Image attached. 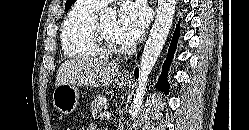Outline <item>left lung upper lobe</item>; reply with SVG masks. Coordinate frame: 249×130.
<instances>
[{
  "label": "left lung upper lobe",
  "instance_id": "5c2ea615",
  "mask_svg": "<svg viewBox=\"0 0 249 130\" xmlns=\"http://www.w3.org/2000/svg\"><path fill=\"white\" fill-rule=\"evenodd\" d=\"M74 2L75 0H67L65 4V9L68 10L73 5Z\"/></svg>",
  "mask_w": 249,
  "mask_h": 130
}]
</instances>
